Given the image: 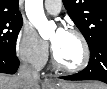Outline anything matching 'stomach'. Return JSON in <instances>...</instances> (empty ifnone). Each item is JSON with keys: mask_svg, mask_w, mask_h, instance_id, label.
<instances>
[{"mask_svg": "<svg viewBox=\"0 0 107 89\" xmlns=\"http://www.w3.org/2000/svg\"><path fill=\"white\" fill-rule=\"evenodd\" d=\"M47 89H82L80 85L77 84H56L50 87H47Z\"/></svg>", "mask_w": 107, "mask_h": 89, "instance_id": "stomach-1", "label": "stomach"}]
</instances>
